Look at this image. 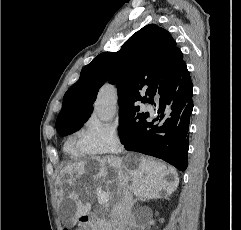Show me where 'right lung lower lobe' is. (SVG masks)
Instances as JSON below:
<instances>
[{
	"mask_svg": "<svg viewBox=\"0 0 241 230\" xmlns=\"http://www.w3.org/2000/svg\"><path fill=\"white\" fill-rule=\"evenodd\" d=\"M193 84L185 62L163 77L146 102L159 108L128 137L126 150L151 155L184 171L187 168Z\"/></svg>",
	"mask_w": 241,
	"mask_h": 230,
	"instance_id": "obj_1",
	"label": "right lung lower lobe"
}]
</instances>
